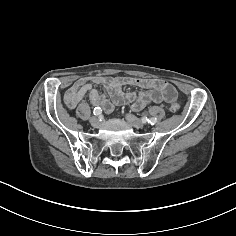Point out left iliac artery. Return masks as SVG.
<instances>
[{"instance_id":"left-iliac-artery-1","label":"left iliac artery","mask_w":236,"mask_h":236,"mask_svg":"<svg viewBox=\"0 0 236 236\" xmlns=\"http://www.w3.org/2000/svg\"><path fill=\"white\" fill-rule=\"evenodd\" d=\"M146 122H147L148 124L154 125V124L157 123V119L154 118V117L148 119V118L146 117Z\"/></svg>"}]
</instances>
